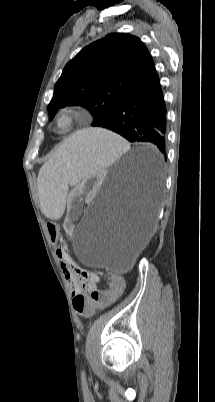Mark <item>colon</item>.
Segmentation results:
<instances>
[{"label":"colon","mask_w":215,"mask_h":402,"mask_svg":"<svg viewBox=\"0 0 215 402\" xmlns=\"http://www.w3.org/2000/svg\"><path fill=\"white\" fill-rule=\"evenodd\" d=\"M47 229L50 238V245L56 246L58 240L60 239V227L55 222H49L47 224ZM63 261V260H62ZM65 268L68 271L79 275L84 279L91 278L94 273L82 269L73 263L69 262L68 259L63 261ZM125 281L121 277H114L110 283V290H97L92 289L88 295H78L73 299V306L77 312L84 316L91 315L95 309H104L110 306L116 298L124 297Z\"/></svg>","instance_id":"1"}]
</instances>
